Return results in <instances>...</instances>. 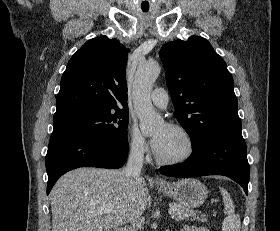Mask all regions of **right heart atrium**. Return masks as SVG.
Instances as JSON below:
<instances>
[{
    "label": "right heart atrium",
    "mask_w": 280,
    "mask_h": 231,
    "mask_svg": "<svg viewBox=\"0 0 280 231\" xmlns=\"http://www.w3.org/2000/svg\"><path fill=\"white\" fill-rule=\"evenodd\" d=\"M128 149L137 155H146L148 153V144L144 137L140 134L135 125L128 128Z\"/></svg>",
    "instance_id": "right-heart-atrium-1"
}]
</instances>
